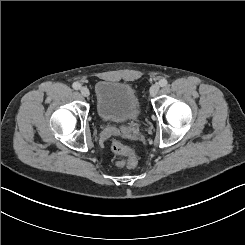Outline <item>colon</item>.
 Masks as SVG:
<instances>
[{"instance_id":"5ec220e1","label":"colon","mask_w":245,"mask_h":245,"mask_svg":"<svg viewBox=\"0 0 245 245\" xmlns=\"http://www.w3.org/2000/svg\"><path fill=\"white\" fill-rule=\"evenodd\" d=\"M112 151L117 155L125 156V159L120 162L121 166L127 168H133L136 166L137 160L132 149L121 141L115 140L112 143Z\"/></svg>"}]
</instances>
